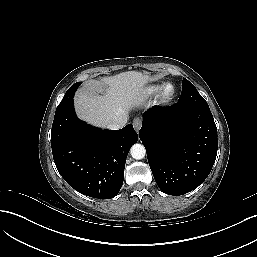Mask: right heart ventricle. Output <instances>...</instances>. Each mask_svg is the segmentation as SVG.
Masks as SVG:
<instances>
[{
	"mask_svg": "<svg viewBox=\"0 0 257 257\" xmlns=\"http://www.w3.org/2000/svg\"><path fill=\"white\" fill-rule=\"evenodd\" d=\"M162 84H153L150 86H147L144 88L141 92V97L142 98H148L153 95H155L160 89H162Z\"/></svg>",
	"mask_w": 257,
	"mask_h": 257,
	"instance_id": "right-heart-ventricle-1",
	"label": "right heart ventricle"
}]
</instances>
